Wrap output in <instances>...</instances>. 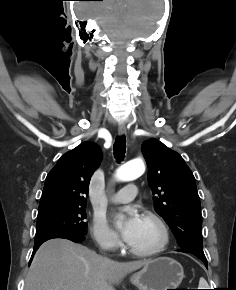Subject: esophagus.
I'll use <instances>...</instances> for the list:
<instances>
[{"label":"esophagus","instance_id":"34e87169","mask_svg":"<svg viewBox=\"0 0 236 290\" xmlns=\"http://www.w3.org/2000/svg\"><path fill=\"white\" fill-rule=\"evenodd\" d=\"M118 133H119V135H124V134H126V126H125L124 123H120V124L118 125Z\"/></svg>","mask_w":236,"mask_h":290}]
</instances>
